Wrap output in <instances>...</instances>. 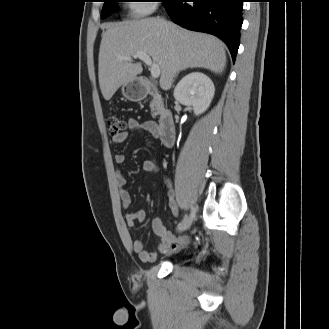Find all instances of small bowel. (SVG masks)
I'll return each mask as SVG.
<instances>
[{
    "instance_id": "c3829d8e",
    "label": "small bowel",
    "mask_w": 329,
    "mask_h": 329,
    "mask_svg": "<svg viewBox=\"0 0 329 329\" xmlns=\"http://www.w3.org/2000/svg\"><path fill=\"white\" fill-rule=\"evenodd\" d=\"M127 127L129 131H143L148 132L153 137L159 136L158 125L151 120L139 121L136 118H129L127 121ZM128 139V131H124L121 134L112 137L115 144L121 145ZM125 156L123 154L115 155V162L117 165H123L125 163ZM143 169L148 172H158V165L154 160H147L144 162ZM116 182L119 188V197L124 208H128L132 203L131 193L125 189L126 177L121 171L116 173ZM165 184L169 188V207L174 216L178 214V208L174 201L173 191L171 190L170 180L165 179ZM126 223L129 227H134L137 222H144L146 219V212L144 210H137L135 212L127 213L125 216ZM152 230L158 238V245L155 251H149L144 248V243L141 240H135L132 248L135 253L138 254L142 262H152L160 254H169L182 249L189 241L187 236H175L173 235L162 223L161 219L154 218L152 221Z\"/></svg>"
}]
</instances>
